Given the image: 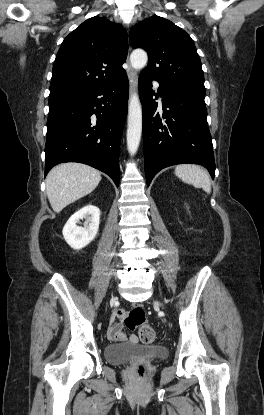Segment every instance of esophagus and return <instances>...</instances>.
Wrapping results in <instances>:
<instances>
[{
	"mask_svg": "<svg viewBox=\"0 0 264 415\" xmlns=\"http://www.w3.org/2000/svg\"><path fill=\"white\" fill-rule=\"evenodd\" d=\"M127 74L130 82V88L131 90H135L138 81L137 75L131 68H128Z\"/></svg>",
	"mask_w": 264,
	"mask_h": 415,
	"instance_id": "esophagus-1",
	"label": "esophagus"
}]
</instances>
